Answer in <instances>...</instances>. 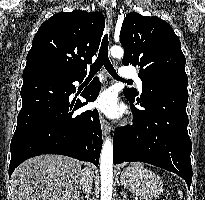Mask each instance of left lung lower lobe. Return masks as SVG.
Returning <instances> with one entry per match:
<instances>
[{
    "label": "left lung lower lobe",
    "mask_w": 205,
    "mask_h": 200,
    "mask_svg": "<svg viewBox=\"0 0 205 200\" xmlns=\"http://www.w3.org/2000/svg\"><path fill=\"white\" fill-rule=\"evenodd\" d=\"M188 78L173 76L153 80L142 87L140 98L125 97L131 106L133 125L115 130L114 164L141 161L182 177L190 188L192 143L188 135Z\"/></svg>",
    "instance_id": "1"
}]
</instances>
